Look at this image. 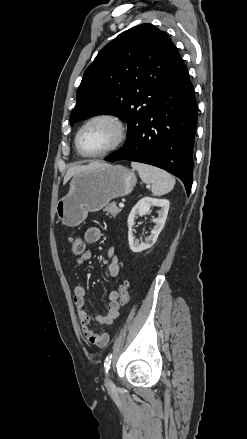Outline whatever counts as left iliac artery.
<instances>
[{
	"label": "left iliac artery",
	"instance_id": "obj_1",
	"mask_svg": "<svg viewBox=\"0 0 247 439\" xmlns=\"http://www.w3.org/2000/svg\"><path fill=\"white\" fill-rule=\"evenodd\" d=\"M111 358H112V354H109L104 362V369L105 372L108 373L109 369H110V364H111Z\"/></svg>",
	"mask_w": 247,
	"mask_h": 439
}]
</instances>
